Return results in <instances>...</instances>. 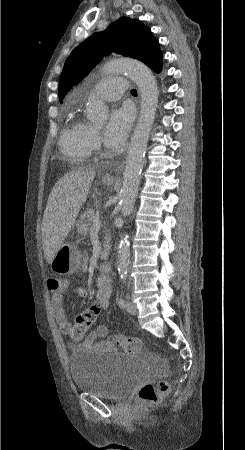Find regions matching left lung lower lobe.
<instances>
[{"label": "left lung lower lobe", "mask_w": 245, "mask_h": 450, "mask_svg": "<svg viewBox=\"0 0 245 450\" xmlns=\"http://www.w3.org/2000/svg\"><path fill=\"white\" fill-rule=\"evenodd\" d=\"M161 65L162 64H159V65H157L153 70L155 71V72H157V73H159L160 71H161Z\"/></svg>", "instance_id": "obj_1"}]
</instances>
